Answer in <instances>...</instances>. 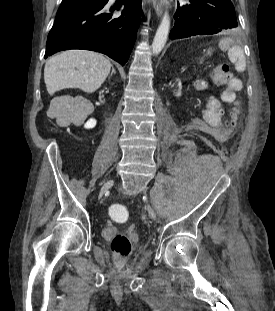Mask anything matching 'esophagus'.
I'll list each match as a JSON object with an SVG mask.
<instances>
[{"label": "esophagus", "mask_w": 275, "mask_h": 311, "mask_svg": "<svg viewBox=\"0 0 275 311\" xmlns=\"http://www.w3.org/2000/svg\"><path fill=\"white\" fill-rule=\"evenodd\" d=\"M164 0H155L154 2V8L157 16H161L163 12V7H164Z\"/></svg>", "instance_id": "1"}]
</instances>
